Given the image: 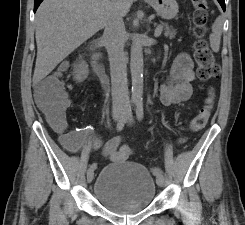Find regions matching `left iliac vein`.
Masks as SVG:
<instances>
[{"instance_id": "1", "label": "left iliac vein", "mask_w": 245, "mask_h": 225, "mask_svg": "<svg viewBox=\"0 0 245 225\" xmlns=\"http://www.w3.org/2000/svg\"><path fill=\"white\" fill-rule=\"evenodd\" d=\"M129 110V106H127V108H126V111H128ZM128 123H132L133 122V117H132V113L130 112V114H129V118H128V121H127ZM156 182H157V185L158 186H163L164 185V176L163 175H161V176H159L157 179H156Z\"/></svg>"}]
</instances>
